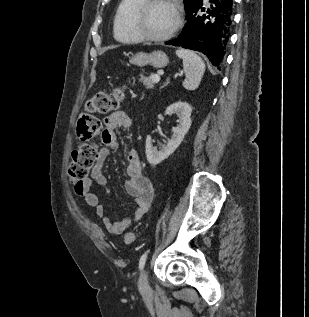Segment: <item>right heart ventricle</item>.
Listing matches in <instances>:
<instances>
[{
	"label": "right heart ventricle",
	"mask_w": 309,
	"mask_h": 317,
	"mask_svg": "<svg viewBox=\"0 0 309 317\" xmlns=\"http://www.w3.org/2000/svg\"><path fill=\"white\" fill-rule=\"evenodd\" d=\"M143 2V0H121L113 19V35L114 38L126 44L137 43L139 37L131 28V18L135 9Z\"/></svg>",
	"instance_id": "1"
}]
</instances>
